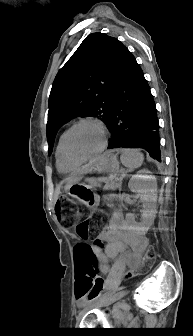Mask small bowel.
Here are the masks:
<instances>
[{
    "label": "small bowel",
    "mask_w": 193,
    "mask_h": 336,
    "mask_svg": "<svg viewBox=\"0 0 193 336\" xmlns=\"http://www.w3.org/2000/svg\"><path fill=\"white\" fill-rule=\"evenodd\" d=\"M101 238L106 241L104 252H101L100 248L96 245L92 246L91 249L97 260L101 263L102 270L108 274L107 283L114 285L118 282L121 264H126L131 269H134L140 263L138 253L145 246V240L137 235L130 225L119 215L113 217L110 226L101 233ZM128 245L132 246L133 252L126 255L116 267L108 269L105 266V262L117 258L125 251ZM78 286H82L85 293L91 295L93 281L87 275H81Z\"/></svg>",
    "instance_id": "obj_1"
}]
</instances>
